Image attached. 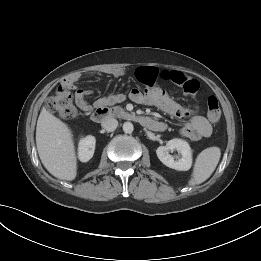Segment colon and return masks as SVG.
Wrapping results in <instances>:
<instances>
[{
  "mask_svg": "<svg viewBox=\"0 0 261 261\" xmlns=\"http://www.w3.org/2000/svg\"><path fill=\"white\" fill-rule=\"evenodd\" d=\"M73 86L69 82L61 84L54 95L47 101V108L49 111L56 113L62 119H72L76 116V108L73 104L72 95ZM208 120L216 123L221 118V109L218 99L215 96L208 98Z\"/></svg>",
  "mask_w": 261,
  "mask_h": 261,
  "instance_id": "colon-1",
  "label": "colon"
}]
</instances>
